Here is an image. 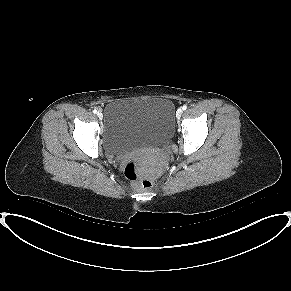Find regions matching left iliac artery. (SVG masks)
<instances>
[{"label":"left iliac artery","instance_id":"obj_1","mask_svg":"<svg viewBox=\"0 0 291 291\" xmlns=\"http://www.w3.org/2000/svg\"><path fill=\"white\" fill-rule=\"evenodd\" d=\"M182 109H183V110H186V109H187V106H186V105H184V106L182 107Z\"/></svg>","mask_w":291,"mask_h":291}]
</instances>
